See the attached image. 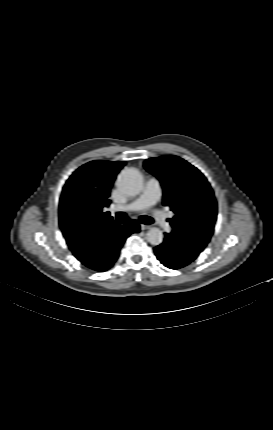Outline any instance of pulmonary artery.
I'll use <instances>...</instances> for the list:
<instances>
[{
  "label": "pulmonary artery",
  "instance_id": "1",
  "mask_svg": "<svg viewBox=\"0 0 273 430\" xmlns=\"http://www.w3.org/2000/svg\"><path fill=\"white\" fill-rule=\"evenodd\" d=\"M161 198V187L155 178H151L147 181L145 189L141 196L135 200L134 202L122 206L117 207V210L130 211V212H138L150 208L154 204H156ZM154 215L156 217L157 222L160 226L167 232L171 231L170 225L165 221L164 215L162 212L155 210Z\"/></svg>",
  "mask_w": 273,
  "mask_h": 430
}]
</instances>
